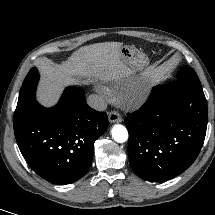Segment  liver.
Returning a JSON list of instances; mask_svg holds the SVG:
<instances>
[{
	"label": "liver",
	"mask_w": 215,
	"mask_h": 215,
	"mask_svg": "<svg viewBox=\"0 0 215 215\" xmlns=\"http://www.w3.org/2000/svg\"><path fill=\"white\" fill-rule=\"evenodd\" d=\"M120 42H104L84 46L66 61L45 62L40 71L43 82L38 99L46 106L55 103L63 85L77 84L84 80L124 81L129 80L133 70L121 60Z\"/></svg>",
	"instance_id": "6515ba94"
}]
</instances>
